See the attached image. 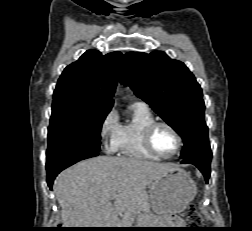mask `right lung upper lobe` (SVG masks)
<instances>
[{
  "mask_svg": "<svg viewBox=\"0 0 252 231\" xmlns=\"http://www.w3.org/2000/svg\"><path fill=\"white\" fill-rule=\"evenodd\" d=\"M121 57L118 51L102 55L97 50H87L62 72L53 103L111 110Z\"/></svg>",
  "mask_w": 252,
  "mask_h": 231,
  "instance_id": "cb5924a9",
  "label": "right lung upper lobe"
}]
</instances>
